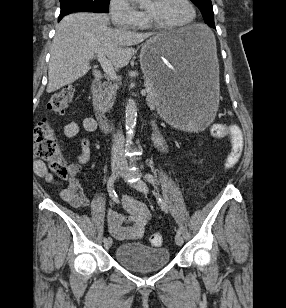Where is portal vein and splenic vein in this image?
<instances>
[{
  "instance_id": "portal-vein-and-splenic-vein-1",
  "label": "portal vein and splenic vein",
  "mask_w": 286,
  "mask_h": 308,
  "mask_svg": "<svg viewBox=\"0 0 286 308\" xmlns=\"http://www.w3.org/2000/svg\"><path fill=\"white\" fill-rule=\"evenodd\" d=\"M97 59L100 62L103 70L105 73L112 79V80H117V75L114 71V68L110 61L106 58L105 53L99 52L97 53ZM147 93V90H142L141 94L145 95Z\"/></svg>"
}]
</instances>
